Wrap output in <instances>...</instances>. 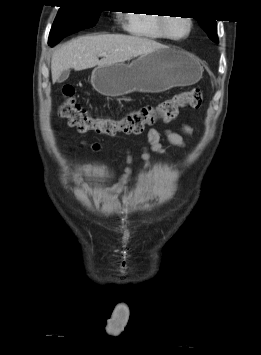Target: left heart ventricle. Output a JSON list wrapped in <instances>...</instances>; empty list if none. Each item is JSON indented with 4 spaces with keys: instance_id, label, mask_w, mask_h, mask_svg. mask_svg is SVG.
I'll use <instances>...</instances> for the list:
<instances>
[{
    "instance_id": "left-heart-ventricle-1",
    "label": "left heart ventricle",
    "mask_w": 261,
    "mask_h": 355,
    "mask_svg": "<svg viewBox=\"0 0 261 355\" xmlns=\"http://www.w3.org/2000/svg\"><path fill=\"white\" fill-rule=\"evenodd\" d=\"M169 32L174 37H182L188 32V23L183 18H173L169 23Z\"/></svg>"
}]
</instances>
